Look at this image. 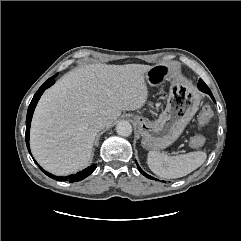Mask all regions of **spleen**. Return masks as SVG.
Segmentation results:
<instances>
[{
  "label": "spleen",
  "mask_w": 241,
  "mask_h": 241,
  "mask_svg": "<svg viewBox=\"0 0 241 241\" xmlns=\"http://www.w3.org/2000/svg\"><path fill=\"white\" fill-rule=\"evenodd\" d=\"M207 154L202 151L189 152L177 156H168L157 151L148 153L147 163L151 171L165 179L179 178L188 175L200 167Z\"/></svg>",
  "instance_id": "obj_1"
}]
</instances>
